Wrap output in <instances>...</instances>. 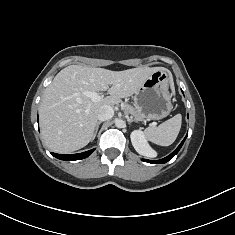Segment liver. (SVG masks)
Instances as JSON below:
<instances>
[{"label": "liver", "instance_id": "6515ba94", "mask_svg": "<svg viewBox=\"0 0 235 235\" xmlns=\"http://www.w3.org/2000/svg\"><path fill=\"white\" fill-rule=\"evenodd\" d=\"M156 71L167 69L137 67L111 71L82 65L62 69L45 89L39 107L41 134L48 148L70 153L86 146L92 141L99 109L117 105L122 98L133 95ZM84 91H108L109 96L92 101Z\"/></svg>", "mask_w": 235, "mask_h": 235}]
</instances>
